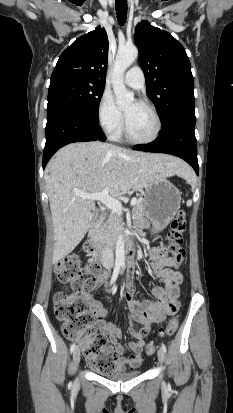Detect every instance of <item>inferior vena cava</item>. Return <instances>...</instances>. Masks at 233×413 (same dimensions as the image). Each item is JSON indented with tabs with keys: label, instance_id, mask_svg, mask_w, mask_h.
Wrapping results in <instances>:
<instances>
[{
	"label": "inferior vena cava",
	"instance_id": "1",
	"mask_svg": "<svg viewBox=\"0 0 233 413\" xmlns=\"http://www.w3.org/2000/svg\"><path fill=\"white\" fill-rule=\"evenodd\" d=\"M102 264L103 267L106 269H111L114 265V255H113V251L110 248H104L102 250Z\"/></svg>",
	"mask_w": 233,
	"mask_h": 413
}]
</instances>
